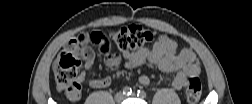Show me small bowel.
Listing matches in <instances>:
<instances>
[{
    "label": "small bowel",
    "mask_w": 252,
    "mask_h": 104,
    "mask_svg": "<svg viewBox=\"0 0 252 104\" xmlns=\"http://www.w3.org/2000/svg\"><path fill=\"white\" fill-rule=\"evenodd\" d=\"M94 57L86 59L85 69L91 70L94 67ZM105 64L109 68H117L124 65L128 69H134L142 65H148L153 69L166 73H174L171 77L172 86L181 89L188 83L190 77L196 76L200 72L196 55L189 49L179 50L177 41L167 36H160L152 42L150 46L144 47L134 52L125 51L122 54H114L107 57ZM110 77L96 78L89 81L92 88L100 89L110 85ZM139 83L142 86L151 85L148 76H141ZM83 84V76H82ZM81 93L75 98H67L70 101H78Z\"/></svg>",
    "instance_id": "c3829d8e"
}]
</instances>
